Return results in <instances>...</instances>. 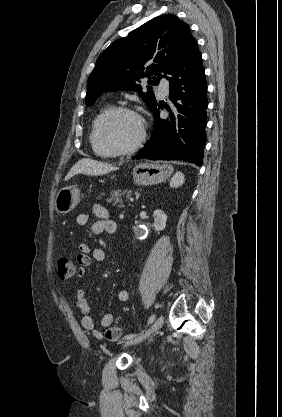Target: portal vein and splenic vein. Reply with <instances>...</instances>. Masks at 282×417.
<instances>
[{
	"mask_svg": "<svg viewBox=\"0 0 282 417\" xmlns=\"http://www.w3.org/2000/svg\"><path fill=\"white\" fill-rule=\"evenodd\" d=\"M128 202H129V203H135V202H136V199H135V198H129V199H128Z\"/></svg>",
	"mask_w": 282,
	"mask_h": 417,
	"instance_id": "portal-vein-and-splenic-vein-1",
	"label": "portal vein and splenic vein"
}]
</instances>
